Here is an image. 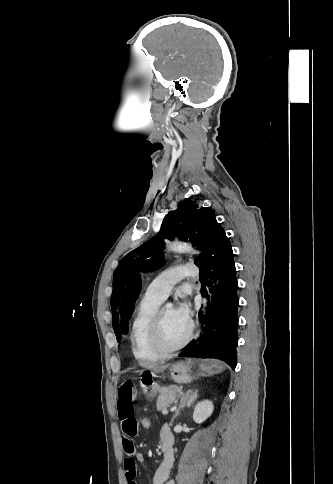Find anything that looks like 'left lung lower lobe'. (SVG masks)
<instances>
[{"mask_svg":"<svg viewBox=\"0 0 333 484\" xmlns=\"http://www.w3.org/2000/svg\"><path fill=\"white\" fill-rule=\"evenodd\" d=\"M201 251L195 264L200 269L202 291L209 300L206 330L198 345L193 340L179 356L218 358L235 369L238 283L230 241L216 219L208 225Z\"/></svg>","mask_w":333,"mask_h":484,"instance_id":"left-lung-lower-lobe-1","label":"left lung lower lobe"}]
</instances>
